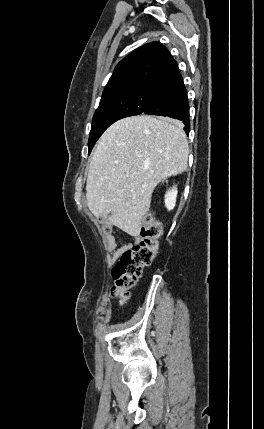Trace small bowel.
Listing matches in <instances>:
<instances>
[{
  "label": "small bowel",
  "instance_id": "small-bowel-1",
  "mask_svg": "<svg viewBox=\"0 0 264 429\" xmlns=\"http://www.w3.org/2000/svg\"><path fill=\"white\" fill-rule=\"evenodd\" d=\"M127 233L133 237V242L127 243L119 247L112 228H110L109 226L104 227L103 240L106 248L110 252V261H115L121 255V253L132 248L134 244H137L139 242V236L136 231H127Z\"/></svg>",
  "mask_w": 264,
  "mask_h": 429
}]
</instances>
